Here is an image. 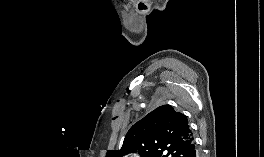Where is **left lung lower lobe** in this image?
<instances>
[{
	"instance_id": "0a47b994",
	"label": "left lung lower lobe",
	"mask_w": 264,
	"mask_h": 157,
	"mask_svg": "<svg viewBox=\"0 0 264 157\" xmlns=\"http://www.w3.org/2000/svg\"><path fill=\"white\" fill-rule=\"evenodd\" d=\"M186 157H198L194 142L189 146L188 151L186 153Z\"/></svg>"
}]
</instances>
